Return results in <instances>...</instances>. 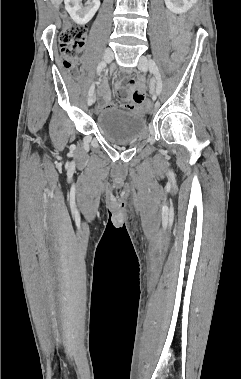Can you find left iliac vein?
Wrapping results in <instances>:
<instances>
[{"label":"left iliac vein","mask_w":241,"mask_h":379,"mask_svg":"<svg viewBox=\"0 0 241 379\" xmlns=\"http://www.w3.org/2000/svg\"><path fill=\"white\" fill-rule=\"evenodd\" d=\"M149 63H150L149 59L146 56L142 55L139 58V62H138V68H139V70H141L143 72L147 71L148 68H149ZM152 99L153 100L157 99V92H153L152 93Z\"/></svg>","instance_id":"left-iliac-vein-1"}]
</instances>
